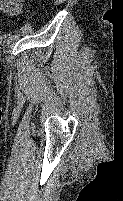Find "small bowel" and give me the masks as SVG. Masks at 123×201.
<instances>
[{
    "label": "small bowel",
    "instance_id": "obj_1",
    "mask_svg": "<svg viewBox=\"0 0 123 201\" xmlns=\"http://www.w3.org/2000/svg\"><path fill=\"white\" fill-rule=\"evenodd\" d=\"M24 1L25 0H0V11L10 16L17 15Z\"/></svg>",
    "mask_w": 123,
    "mask_h": 201
}]
</instances>
